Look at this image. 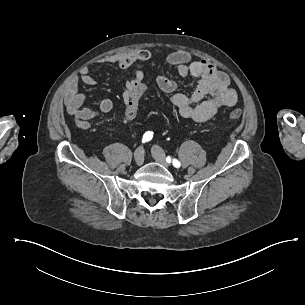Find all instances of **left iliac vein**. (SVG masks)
Instances as JSON below:
<instances>
[{
	"label": "left iliac vein",
	"mask_w": 305,
	"mask_h": 305,
	"mask_svg": "<svg viewBox=\"0 0 305 305\" xmlns=\"http://www.w3.org/2000/svg\"><path fill=\"white\" fill-rule=\"evenodd\" d=\"M152 155L154 159L160 164H162L165 168L170 167V164L166 162L165 152L161 148L159 147L153 148Z\"/></svg>",
	"instance_id": "obj_1"
}]
</instances>
